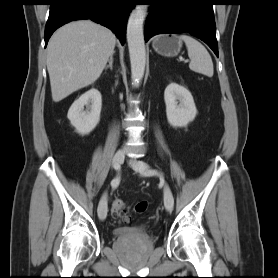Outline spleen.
<instances>
[{
	"mask_svg": "<svg viewBox=\"0 0 278 278\" xmlns=\"http://www.w3.org/2000/svg\"><path fill=\"white\" fill-rule=\"evenodd\" d=\"M180 39L186 44L190 58L189 68L197 73L212 77L214 73L213 62L207 49L196 39L189 35H181Z\"/></svg>",
	"mask_w": 278,
	"mask_h": 278,
	"instance_id": "obj_1",
	"label": "spleen"
}]
</instances>
